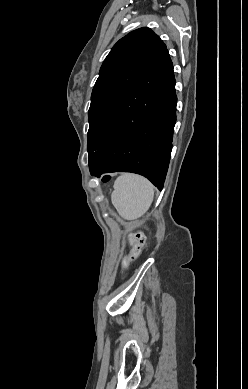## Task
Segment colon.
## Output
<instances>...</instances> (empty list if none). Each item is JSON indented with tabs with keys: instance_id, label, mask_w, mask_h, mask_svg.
I'll return each mask as SVG.
<instances>
[{
	"instance_id": "1",
	"label": "colon",
	"mask_w": 248,
	"mask_h": 389,
	"mask_svg": "<svg viewBox=\"0 0 248 389\" xmlns=\"http://www.w3.org/2000/svg\"><path fill=\"white\" fill-rule=\"evenodd\" d=\"M129 241L132 245V249L128 254L124 256L121 264L122 268L128 267L130 263L140 255L145 244L144 234L142 232L130 233Z\"/></svg>"
}]
</instances>
